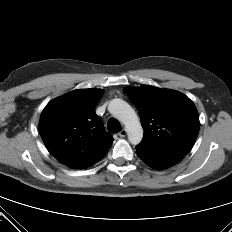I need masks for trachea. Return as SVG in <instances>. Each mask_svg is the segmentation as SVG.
Returning <instances> with one entry per match:
<instances>
[{
	"mask_svg": "<svg viewBox=\"0 0 232 232\" xmlns=\"http://www.w3.org/2000/svg\"><path fill=\"white\" fill-rule=\"evenodd\" d=\"M107 129L111 133H117L122 130L119 121L115 118H110L107 123Z\"/></svg>",
	"mask_w": 232,
	"mask_h": 232,
	"instance_id": "1",
	"label": "trachea"
}]
</instances>
